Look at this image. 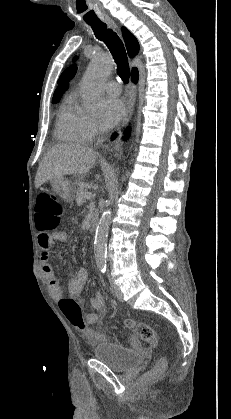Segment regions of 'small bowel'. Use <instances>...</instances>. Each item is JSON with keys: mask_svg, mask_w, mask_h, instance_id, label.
<instances>
[{"mask_svg": "<svg viewBox=\"0 0 231 419\" xmlns=\"http://www.w3.org/2000/svg\"><path fill=\"white\" fill-rule=\"evenodd\" d=\"M68 236L64 231H56L51 234L41 232L38 234V244L41 249V260H42V272L48 281L49 291L51 297L59 302L62 299V289L60 287L59 281L56 277L55 270L53 266L49 263L50 251L53 248L55 243H63L67 241ZM88 280V271L81 267L73 275V277L68 282V293L71 296L78 297L80 296L83 287ZM91 306L96 312H89L85 316L86 323L90 325H97L100 321V315L103 313L105 308V299L103 295L99 292L95 293L91 298ZM97 338H101L103 335L97 332ZM133 342H135L133 340Z\"/></svg>", "mask_w": 231, "mask_h": 419, "instance_id": "small-bowel-1", "label": "small bowel"}]
</instances>
